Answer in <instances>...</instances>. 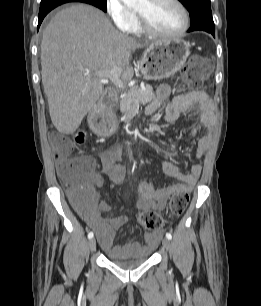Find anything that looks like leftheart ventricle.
Instances as JSON below:
<instances>
[{"mask_svg": "<svg viewBox=\"0 0 261 306\" xmlns=\"http://www.w3.org/2000/svg\"><path fill=\"white\" fill-rule=\"evenodd\" d=\"M135 11L145 15L155 29L164 33L177 31L183 22L180 9L170 0H141Z\"/></svg>", "mask_w": 261, "mask_h": 306, "instance_id": "left-heart-ventricle-1", "label": "left heart ventricle"}]
</instances>
